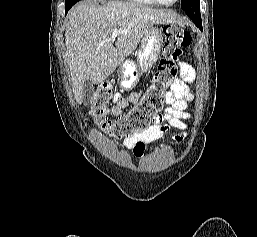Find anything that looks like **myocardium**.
Segmentation results:
<instances>
[{
    "label": "myocardium",
    "instance_id": "myocardium-1",
    "mask_svg": "<svg viewBox=\"0 0 257 237\" xmlns=\"http://www.w3.org/2000/svg\"><path fill=\"white\" fill-rule=\"evenodd\" d=\"M156 4L162 5V6H173L179 2V0H174L173 2H164L162 0H154Z\"/></svg>",
    "mask_w": 257,
    "mask_h": 237
}]
</instances>
